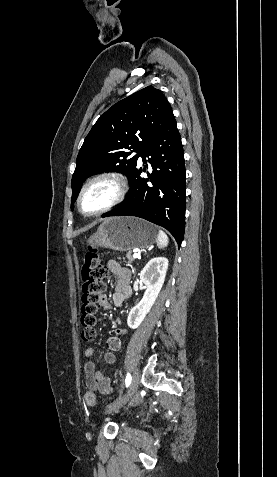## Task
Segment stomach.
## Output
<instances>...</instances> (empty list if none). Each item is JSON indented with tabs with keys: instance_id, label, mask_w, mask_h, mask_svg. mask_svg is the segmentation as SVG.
Segmentation results:
<instances>
[{
	"instance_id": "obj_1",
	"label": "stomach",
	"mask_w": 277,
	"mask_h": 477,
	"mask_svg": "<svg viewBox=\"0 0 277 477\" xmlns=\"http://www.w3.org/2000/svg\"><path fill=\"white\" fill-rule=\"evenodd\" d=\"M157 237L158 230L153 224L136 217L118 216L105 219L87 243L93 248L123 252L148 248Z\"/></svg>"
}]
</instances>
